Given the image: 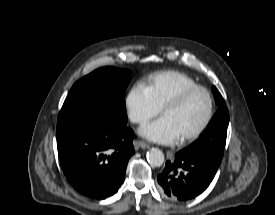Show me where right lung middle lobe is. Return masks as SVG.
Masks as SVG:
<instances>
[{"mask_svg": "<svg viewBox=\"0 0 275 215\" xmlns=\"http://www.w3.org/2000/svg\"><path fill=\"white\" fill-rule=\"evenodd\" d=\"M130 71L115 67L97 69L71 88L58 116L57 127L112 120L127 123L125 91Z\"/></svg>", "mask_w": 275, "mask_h": 215, "instance_id": "dd1d6c3e", "label": "right lung middle lobe"}]
</instances>
